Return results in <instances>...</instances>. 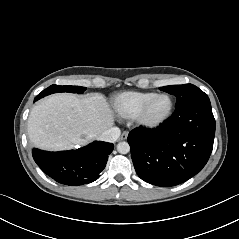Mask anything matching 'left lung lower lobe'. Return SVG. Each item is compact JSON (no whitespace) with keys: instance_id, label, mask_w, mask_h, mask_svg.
<instances>
[{"instance_id":"1","label":"left lung lower lobe","mask_w":239,"mask_h":239,"mask_svg":"<svg viewBox=\"0 0 239 239\" xmlns=\"http://www.w3.org/2000/svg\"><path fill=\"white\" fill-rule=\"evenodd\" d=\"M215 119L208 96L175 109L155 129L143 127L128 135L132 161L147 183L169 187L183 183L202 170L213 148Z\"/></svg>"}]
</instances>
